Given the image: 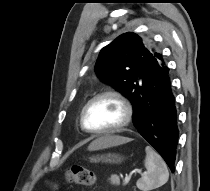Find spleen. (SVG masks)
<instances>
[{
  "label": "spleen",
  "mask_w": 210,
  "mask_h": 191,
  "mask_svg": "<svg viewBox=\"0 0 210 191\" xmlns=\"http://www.w3.org/2000/svg\"><path fill=\"white\" fill-rule=\"evenodd\" d=\"M146 157L144 165L147 171L137 181L136 185L139 190L149 191L164 185L169 178L167 165L161 156L150 146L145 148Z\"/></svg>",
  "instance_id": "1"
}]
</instances>
